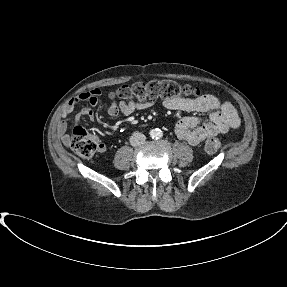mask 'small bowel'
I'll return each instance as SVG.
<instances>
[{
	"mask_svg": "<svg viewBox=\"0 0 287 287\" xmlns=\"http://www.w3.org/2000/svg\"><path fill=\"white\" fill-rule=\"evenodd\" d=\"M101 90L94 88L90 91L82 92L73 97L63 112V119L58 125L57 132L64 144L68 145L70 136L68 134L70 115L76 105L81 102H87L90 106H96L99 103ZM153 103H111L108 107V115L116 117L120 113L126 117L131 116L136 110L149 108ZM90 106L82 107L75 115V124H79L83 116L90 120L94 119V112ZM164 106L170 110H181L187 112H196L208 115V122H203L200 116H189L180 119L174 126L177 137L191 145H198L209 137L224 134L230 129L238 128L240 118L235 108L229 102L222 101L213 95H203L197 99L174 98L166 100ZM104 150V147L101 146Z\"/></svg>",
	"mask_w": 287,
	"mask_h": 287,
	"instance_id": "c3829d8e",
	"label": "small bowel"
}]
</instances>
